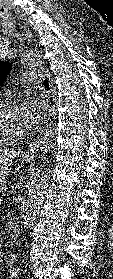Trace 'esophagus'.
I'll return each instance as SVG.
<instances>
[{
  "instance_id": "1",
  "label": "esophagus",
  "mask_w": 113,
  "mask_h": 279,
  "mask_svg": "<svg viewBox=\"0 0 113 279\" xmlns=\"http://www.w3.org/2000/svg\"><path fill=\"white\" fill-rule=\"evenodd\" d=\"M40 69L42 70V72L45 73L46 77L48 78L49 85H50V90H51V93L53 94V86H54V84H53V80H52L48 70H46V68L44 66H40ZM52 114H53V106L51 107L49 115H48V117L46 118V120L44 122L45 125H48V123L50 122ZM39 145H40V143H39V140L37 139L32 144L29 145V147L24 151L23 154L25 156H30V157L34 156L36 154V152L38 151V149H39Z\"/></svg>"
}]
</instances>
